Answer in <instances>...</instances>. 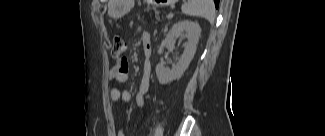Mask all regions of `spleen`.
<instances>
[{"label": "spleen", "instance_id": "obj_1", "mask_svg": "<svg viewBox=\"0 0 325 136\" xmlns=\"http://www.w3.org/2000/svg\"><path fill=\"white\" fill-rule=\"evenodd\" d=\"M182 12L189 16L203 17L211 24L215 20L213 0H189L182 5Z\"/></svg>", "mask_w": 325, "mask_h": 136}]
</instances>
